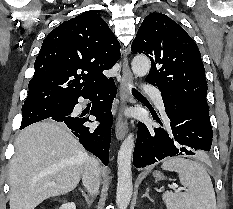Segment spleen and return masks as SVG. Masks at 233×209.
Masks as SVG:
<instances>
[{
    "instance_id": "3e777b00",
    "label": "spleen",
    "mask_w": 233,
    "mask_h": 209,
    "mask_svg": "<svg viewBox=\"0 0 233 209\" xmlns=\"http://www.w3.org/2000/svg\"><path fill=\"white\" fill-rule=\"evenodd\" d=\"M162 169L178 173L186 192L166 191L163 202L167 209H216L213 184L205 168L198 162L185 158H170Z\"/></svg>"
}]
</instances>
